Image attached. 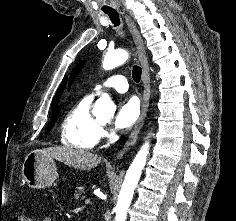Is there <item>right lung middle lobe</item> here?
Instances as JSON below:
<instances>
[{
    "instance_id": "1",
    "label": "right lung middle lobe",
    "mask_w": 236,
    "mask_h": 221,
    "mask_svg": "<svg viewBox=\"0 0 236 221\" xmlns=\"http://www.w3.org/2000/svg\"><path fill=\"white\" fill-rule=\"evenodd\" d=\"M57 114H58V110L56 108V105H54L53 106V113H52V120H51L50 124L46 128V133H48V131L54 126V124L56 122Z\"/></svg>"
}]
</instances>
